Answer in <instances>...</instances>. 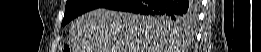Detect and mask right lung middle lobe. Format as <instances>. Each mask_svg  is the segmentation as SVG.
<instances>
[{"instance_id": "right-lung-middle-lobe-1", "label": "right lung middle lobe", "mask_w": 261, "mask_h": 52, "mask_svg": "<svg viewBox=\"0 0 261 52\" xmlns=\"http://www.w3.org/2000/svg\"><path fill=\"white\" fill-rule=\"evenodd\" d=\"M110 0H68L65 6V15L62 21V25H65L73 18L95 8H100L109 3ZM162 20L168 21L170 23H182V22H191L194 17L195 13L193 12L189 16H167L161 15Z\"/></svg>"}]
</instances>
